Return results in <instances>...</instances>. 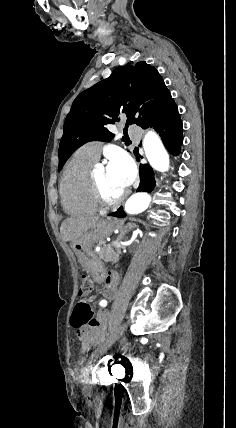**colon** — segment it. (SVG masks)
Masks as SVG:
<instances>
[{
    "instance_id": "obj_1",
    "label": "colon",
    "mask_w": 236,
    "mask_h": 428,
    "mask_svg": "<svg viewBox=\"0 0 236 428\" xmlns=\"http://www.w3.org/2000/svg\"><path fill=\"white\" fill-rule=\"evenodd\" d=\"M93 290V282L88 277L83 276L80 281L79 294L85 298L90 295ZM96 324L94 313L89 304L85 301L80 302L74 309L71 316V326L76 332H80L85 325Z\"/></svg>"
}]
</instances>
